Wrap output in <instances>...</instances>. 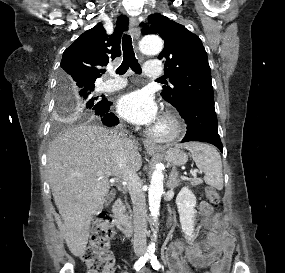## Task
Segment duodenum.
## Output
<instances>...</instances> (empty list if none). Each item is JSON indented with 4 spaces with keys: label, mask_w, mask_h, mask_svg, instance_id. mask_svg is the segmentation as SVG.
<instances>
[{
    "label": "duodenum",
    "mask_w": 285,
    "mask_h": 273,
    "mask_svg": "<svg viewBox=\"0 0 285 273\" xmlns=\"http://www.w3.org/2000/svg\"><path fill=\"white\" fill-rule=\"evenodd\" d=\"M114 213L116 215L115 225L119 230L125 235L130 236L132 234V223L130 219L126 216L124 211V206L121 200H117L113 207ZM170 225V223H169Z\"/></svg>",
    "instance_id": "410a0bca"
}]
</instances>
